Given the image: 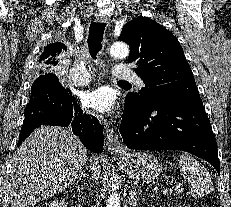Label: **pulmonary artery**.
<instances>
[{
	"instance_id": "obj_1",
	"label": "pulmonary artery",
	"mask_w": 231,
	"mask_h": 207,
	"mask_svg": "<svg viewBox=\"0 0 231 207\" xmlns=\"http://www.w3.org/2000/svg\"><path fill=\"white\" fill-rule=\"evenodd\" d=\"M113 75L117 79L131 81L138 86H143L142 80L128 66L117 65L113 69ZM70 77L76 85H84L90 81L89 74L82 67L73 68Z\"/></svg>"
}]
</instances>
